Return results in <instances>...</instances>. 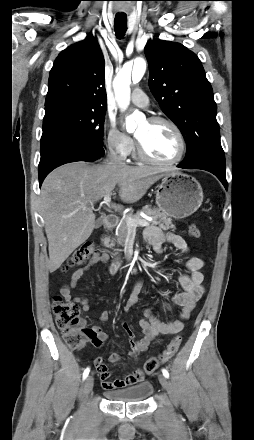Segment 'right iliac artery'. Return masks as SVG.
Segmentation results:
<instances>
[{
    "mask_svg": "<svg viewBox=\"0 0 254 440\" xmlns=\"http://www.w3.org/2000/svg\"><path fill=\"white\" fill-rule=\"evenodd\" d=\"M89 372H90V369L86 368L84 373H83V380L86 379V377L88 376Z\"/></svg>",
    "mask_w": 254,
    "mask_h": 440,
    "instance_id": "82829eb1",
    "label": "right iliac artery"
}]
</instances>
